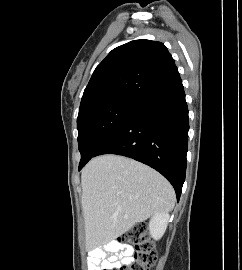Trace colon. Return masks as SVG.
<instances>
[{"instance_id":"colon-1","label":"colon","mask_w":242,"mask_h":270,"mask_svg":"<svg viewBox=\"0 0 242 270\" xmlns=\"http://www.w3.org/2000/svg\"><path fill=\"white\" fill-rule=\"evenodd\" d=\"M118 242L132 245L135 254L129 264H122L117 270H150L155 265L157 252L144 225H134L119 238ZM97 270H99V267H97Z\"/></svg>"}]
</instances>
